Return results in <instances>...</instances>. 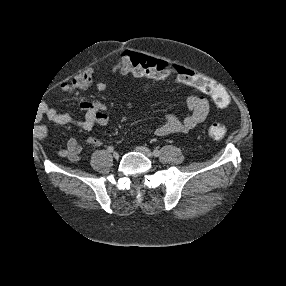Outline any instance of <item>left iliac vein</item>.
<instances>
[{
	"instance_id": "4c4485c4",
	"label": "left iliac vein",
	"mask_w": 286,
	"mask_h": 286,
	"mask_svg": "<svg viewBox=\"0 0 286 286\" xmlns=\"http://www.w3.org/2000/svg\"><path fill=\"white\" fill-rule=\"evenodd\" d=\"M136 151L144 154L145 156L149 157V158H153V153L150 149H148L147 147L144 146H137L135 148Z\"/></svg>"
}]
</instances>
